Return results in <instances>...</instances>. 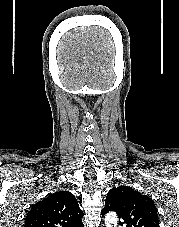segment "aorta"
Masks as SVG:
<instances>
[{
    "mask_svg": "<svg viewBox=\"0 0 179 227\" xmlns=\"http://www.w3.org/2000/svg\"><path fill=\"white\" fill-rule=\"evenodd\" d=\"M118 222L117 215L113 212L108 213L105 217V225L106 227H116Z\"/></svg>",
    "mask_w": 179,
    "mask_h": 227,
    "instance_id": "762f6f07",
    "label": "aorta"
}]
</instances>
